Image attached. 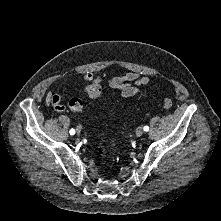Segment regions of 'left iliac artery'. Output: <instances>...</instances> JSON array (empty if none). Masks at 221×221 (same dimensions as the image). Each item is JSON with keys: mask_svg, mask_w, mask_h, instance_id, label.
Returning <instances> with one entry per match:
<instances>
[{"mask_svg": "<svg viewBox=\"0 0 221 221\" xmlns=\"http://www.w3.org/2000/svg\"><path fill=\"white\" fill-rule=\"evenodd\" d=\"M143 129H144V131H146V132H147V131L149 130V127H148V126H144V128H143Z\"/></svg>", "mask_w": 221, "mask_h": 221, "instance_id": "1", "label": "left iliac artery"}]
</instances>
